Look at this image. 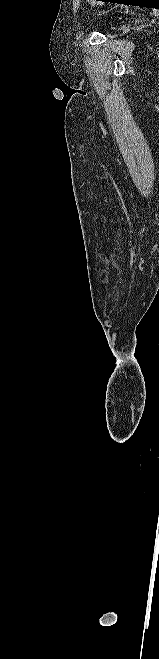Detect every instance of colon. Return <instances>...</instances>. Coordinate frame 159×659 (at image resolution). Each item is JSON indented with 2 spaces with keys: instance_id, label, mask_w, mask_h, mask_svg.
<instances>
[{
  "instance_id": "obj_1",
  "label": "colon",
  "mask_w": 159,
  "mask_h": 659,
  "mask_svg": "<svg viewBox=\"0 0 159 659\" xmlns=\"http://www.w3.org/2000/svg\"><path fill=\"white\" fill-rule=\"evenodd\" d=\"M89 1H90L91 3H95V2L98 1V0H89Z\"/></svg>"
}]
</instances>
